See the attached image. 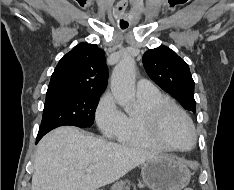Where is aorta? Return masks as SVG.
<instances>
[{
  "label": "aorta",
  "instance_id": "762f6f07",
  "mask_svg": "<svg viewBox=\"0 0 234 190\" xmlns=\"http://www.w3.org/2000/svg\"><path fill=\"white\" fill-rule=\"evenodd\" d=\"M135 61L124 57L114 68L111 76V91L117 103L131 112L135 100L134 93Z\"/></svg>",
  "mask_w": 234,
  "mask_h": 190
}]
</instances>
